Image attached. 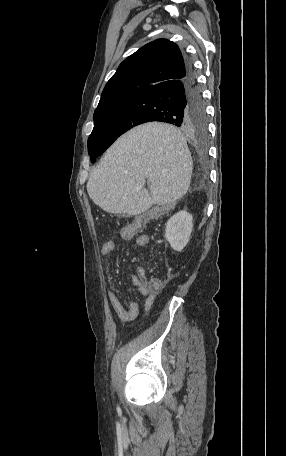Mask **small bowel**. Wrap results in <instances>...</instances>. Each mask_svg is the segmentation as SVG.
Returning <instances> with one entry per match:
<instances>
[{
  "instance_id": "1",
  "label": "small bowel",
  "mask_w": 286,
  "mask_h": 456,
  "mask_svg": "<svg viewBox=\"0 0 286 456\" xmlns=\"http://www.w3.org/2000/svg\"><path fill=\"white\" fill-rule=\"evenodd\" d=\"M122 240H130L132 236L124 233L123 229L120 231ZM149 237L147 234H140L135 238L137 247H145L148 244ZM117 244L113 240H107L102 244L101 254L103 256H110L116 250ZM132 283L137 288L139 294L144 297V314L148 313L154 304L156 292L153 291L144 279H139L137 275L132 276ZM109 303L117 315L118 319L123 322H130L135 320L139 315V305L135 301H129L124 305L119 297L113 291L108 292Z\"/></svg>"
}]
</instances>
